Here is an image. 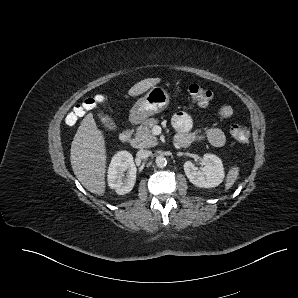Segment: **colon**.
<instances>
[{"label":"colon","mask_w":298,"mask_h":298,"mask_svg":"<svg viewBox=\"0 0 298 298\" xmlns=\"http://www.w3.org/2000/svg\"><path fill=\"white\" fill-rule=\"evenodd\" d=\"M188 93L194 103L200 106L208 105L213 98V93L210 89L198 84H191L188 87ZM104 103L103 96H95L88 98L81 104L73 108L67 115V123L75 124L79 119L86 116L88 113L97 110ZM232 137L239 143H247L250 138V129L245 124H234L231 127Z\"/></svg>","instance_id":"obj_1"}]
</instances>
